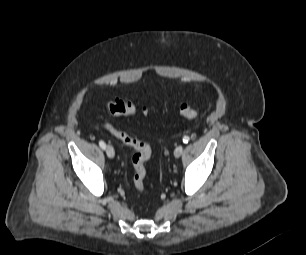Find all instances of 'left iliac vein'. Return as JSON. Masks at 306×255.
Here are the masks:
<instances>
[{"mask_svg":"<svg viewBox=\"0 0 306 255\" xmlns=\"http://www.w3.org/2000/svg\"><path fill=\"white\" fill-rule=\"evenodd\" d=\"M183 153V147L182 146H178L176 147V149L174 150V156L176 158H179Z\"/></svg>","mask_w":306,"mask_h":255,"instance_id":"obj_1","label":"left iliac vein"}]
</instances>
